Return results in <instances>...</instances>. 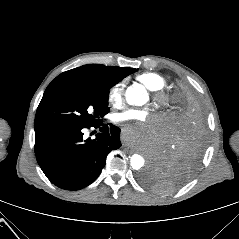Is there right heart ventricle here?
<instances>
[{"mask_svg":"<svg viewBox=\"0 0 239 239\" xmlns=\"http://www.w3.org/2000/svg\"><path fill=\"white\" fill-rule=\"evenodd\" d=\"M136 80L151 91H161L166 85L165 79L154 72H145L136 76Z\"/></svg>","mask_w":239,"mask_h":239,"instance_id":"1","label":"right heart ventricle"}]
</instances>
